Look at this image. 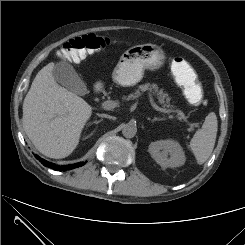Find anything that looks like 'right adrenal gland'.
Instances as JSON below:
<instances>
[{
  "label": "right adrenal gland",
  "mask_w": 245,
  "mask_h": 245,
  "mask_svg": "<svg viewBox=\"0 0 245 245\" xmlns=\"http://www.w3.org/2000/svg\"><path fill=\"white\" fill-rule=\"evenodd\" d=\"M100 122H102V119H101V120H98V121H97V120L93 121V123H95L96 125H98ZM92 134H93V133L89 134V135L87 136V138L90 137Z\"/></svg>",
  "instance_id": "obj_1"
}]
</instances>
